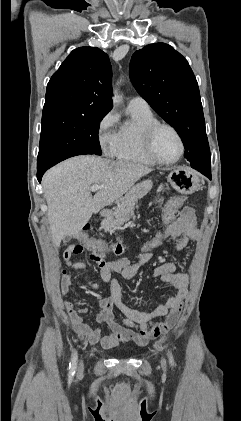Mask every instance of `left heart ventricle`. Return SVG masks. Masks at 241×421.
I'll return each mask as SVG.
<instances>
[{"label":"left heart ventricle","instance_id":"b2bd125f","mask_svg":"<svg viewBox=\"0 0 241 421\" xmlns=\"http://www.w3.org/2000/svg\"><path fill=\"white\" fill-rule=\"evenodd\" d=\"M154 149L162 160L170 161L179 155L180 143L171 130L162 128L155 136Z\"/></svg>","mask_w":241,"mask_h":421}]
</instances>
